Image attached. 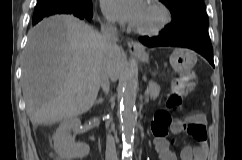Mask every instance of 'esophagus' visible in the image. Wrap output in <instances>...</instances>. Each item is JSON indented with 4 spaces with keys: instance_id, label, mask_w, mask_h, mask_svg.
<instances>
[{
    "instance_id": "obj_1",
    "label": "esophagus",
    "mask_w": 242,
    "mask_h": 160,
    "mask_svg": "<svg viewBox=\"0 0 242 160\" xmlns=\"http://www.w3.org/2000/svg\"><path fill=\"white\" fill-rule=\"evenodd\" d=\"M128 49L130 52H140L143 53V49L140 45H138L136 42H134L133 40L128 41Z\"/></svg>"
}]
</instances>
